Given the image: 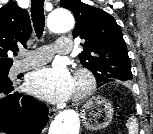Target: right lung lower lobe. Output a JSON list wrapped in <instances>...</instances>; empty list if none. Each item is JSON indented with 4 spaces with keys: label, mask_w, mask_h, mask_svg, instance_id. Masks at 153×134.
<instances>
[{
    "label": "right lung lower lobe",
    "mask_w": 153,
    "mask_h": 134,
    "mask_svg": "<svg viewBox=\"0 0 153 134\" xmlns=\"http://www.w3.org/2000/svg\"><path fill=\"white\" fill-rule=\"evenodd\" d=\"M13 90L12 83L0 80V132L40 134L48 122L47 108L34 97Z\"/></svg>",
    "instance_id": "obj_1"
}]
</instances>
